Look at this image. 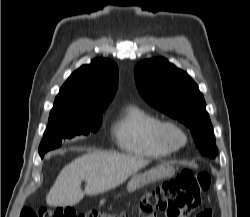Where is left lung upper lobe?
Segmentation results:
<instances>
[{
    "instance_id": "obj_1",
    "label": "left lung upper lobe",
    "mask_w": 250,
    "mask_h": 217,
    "mask_svg": "<svg viewBox=\"0 0 250 217\" xmlns=\"http://www.w3.org/2000/svg\"><path fill=\"white\" fill-rule=\"evenodd\" d=\"M140 95L151 106L185 124L202 155L216 158L213 127L197 84L165 58L143 60L136 65Z\"/></svg>"
}]
</instances>
